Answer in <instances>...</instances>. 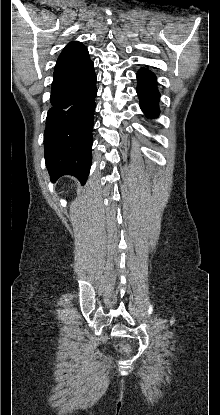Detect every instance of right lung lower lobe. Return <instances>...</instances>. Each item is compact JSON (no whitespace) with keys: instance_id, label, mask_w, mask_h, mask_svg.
<instances>
[{"instance_id":"obj_1","label":"right lung lower lobe","mask_w":220,"mask_h":415,"mask_svg":"<svg viewBox=\"0 0 220 415\" xmlns=\"http://www.w3.org/2000/svg\"><path fill=\"white\" fill-rule=\"evenodd\" d=\"M44 132L45 162L51 181L73 175L82 184L87 180L92 160V130L96 74L93 62L53 75Z\"/></svg>"}]
</instances>
